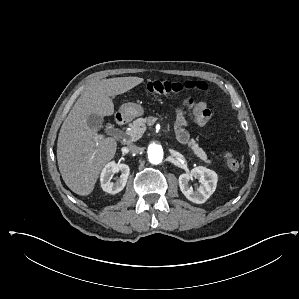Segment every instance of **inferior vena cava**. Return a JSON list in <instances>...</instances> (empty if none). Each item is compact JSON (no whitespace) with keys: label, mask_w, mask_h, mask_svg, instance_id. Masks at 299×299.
I'll list each match as a JSON object with an SVG mask.
<instances>
[{"label":"inferior vena cava","mask_w":299,"mask_h":299,"mask_svg":"<svg viewBox=\"0 0 299 299\" xmlns=\"http://www.w3.org/2000/svg\"><path fill=\"white\" fill-rule=\"evenodd\" d=\"M128 149L131 153H140L142 151V148L136 146L135 144H129Z\"/></svg>","instance_id":"1"}]
</instances>
